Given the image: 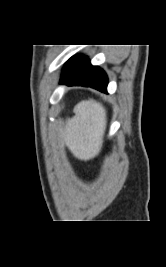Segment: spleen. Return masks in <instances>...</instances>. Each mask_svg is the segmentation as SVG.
Returning <instances> with one entry per match:
<instances>
[{
	"mask_svg": "<svg viewBox=\"0 0 166 267\" xmlns=\"http://www.w3.org/2000/svg\"><path fill=\"white\" fill-rule=\"evenodd\" d=\"M75 116L68 119L64 133L67 145L73 155L81 160H89L99 154L106 129L104 107L89 99L76 105Z\"/></svg>",
	"mask_w": 166,
	"mask_h": 267,
	"instance_id": "1",
	"label": "spleen"
}]
</instances>
